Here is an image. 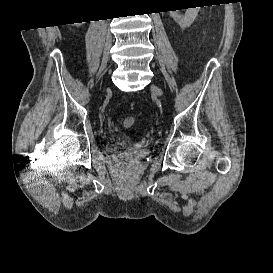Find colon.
<instances>
[{
  "instance_id": "obj_1",
  "label": "colon",
  "mask_w": 273,
  "mask_h": 273,
  "mask_svg": "<svg viewBox=\"0 0 273 273\" xmlns=\"http://www.w3.org/2000/svg\"><path fill=\"white\" fill-rule=\"evenodd\" d=\"M135 125V118L132 116L125 117L123 119V126L125 128H131Z\"/></svg>"
}]
</instances>
